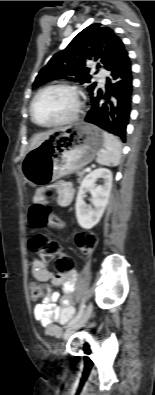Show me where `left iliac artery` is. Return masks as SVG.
Returning <instances> with one entry per match:
<instances>
[{"instance_id":"left-iliac-artery-1","label":"left iliac artery","mask_w":155,"mask_h":395,"mask_svg":"<svg viewBox=\"0 0 155 395\" xmlns=\"http://www.w3.org/2000/svg\"><path fill=\"white\" fill-rule=\"evenodd\" d=\"M84 308H85L84 301H82L79 312L76 314V316L73 319H71V321L68 323L67 327L74 324L81 318V316L83 315V312H84Z\"/></svg>"}]
</instances>
